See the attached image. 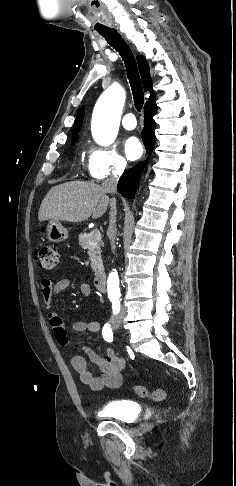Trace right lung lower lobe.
<instances>
[{"mask_svg": "<svg viewBox=\"0 0 236 486\" xmlns=\"http://www.w3.org/2000/svg\"><path fill=\"white\" fill-rule=\"evenodd\" d=\"M157 112V106L155 99L146 102L144 107L145 119L144 128L142 131V139L146 148L151 152L154 149L155 136L154 130L156 128V123L153 120V116ZM150 155L148 156V159ZM147 161L143 163H138L132 169L127 170L121 176L118 182V191L127 198L133 199L135 192L137 190L141 173L143 171L144 165Z\"/></svg>", "mask_w": 236, "mask_h": 486, "instance_id": "right-lung-lower-lobe-1", "label": "right lung lower lobe"}]
</instances>
